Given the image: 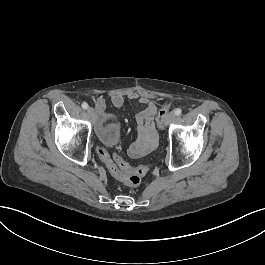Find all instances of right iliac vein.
<instances>
[{
	"label": "right iliac vein",
	"mask_w": 265,
	"mask_h": 265,
	"mask_svg": "<svg viewBox=\"0 0 265 265\" xmlns=\"http://www.w3.org/2000/svg\"><path fill=\"white\" fill-rule=\"evenodd\" d=\"M87 114H88L89 118L92 119V118L94 117V114H95V110H94V108L89 107V108L87 109Z\"/></svg>",
	"instance_id": "obj_1"
}]
</instances>
